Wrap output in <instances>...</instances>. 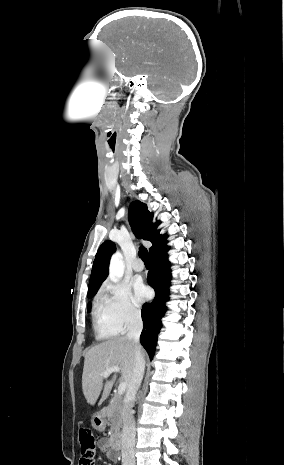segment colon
<instances>
[{
  "label": "colon",
  "mask_w": 284,
  "mask_h": 465,
  "mask_svg": "<svg viewBox=\"0 0 284 465\" xmlns=\"http://www.w3.org/2000/svg\"><path fill=\"white\" fill-rule=\"evenodd\" d=\"M79 441L82 459L80 465H94L92 457L95 449V438L92 431L87 428L79 430Z\"/></svg>",
  "instance_id": "colon-1"
}]
</instances>
